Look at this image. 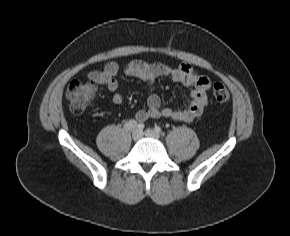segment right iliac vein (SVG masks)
I'll return each mask as SVG.
<instances>
[{"label":"right iliac vein","instance_id":"obj_1","mask_svg":"<svg viewBox=\"0 0 290 236\" xmlns=\"http://www.w3.org/2000/svg\"><path fill=\"white\" fill-rule=\"evenodd\" d=\"M142 134L139 130H134L132 133V138L134 141H137L141 138Z\"/></svg>","mask_w":290,"mask_h":236}]
</instances>
